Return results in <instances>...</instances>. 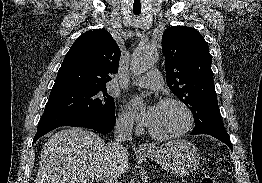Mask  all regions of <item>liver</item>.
Returning a JSON list of instances; mask_svg holds the SVG:
<instances>
[{"instance_id":"6515ba94","label":"liver","mask_w":262,"mask_h":183,"mask_svg":"<svg viewBox=\"0 0 262 183\" xmlns=\"http://www.w3.org/2000/svg\"><path fill=\"white\" fill-rule=\"evenodd\" d=\"M128 168L127 150L117 154L96 133L70 128L45 143L36 183H93L96 176L119 178Z\"/></svg>"}]
</instances>
